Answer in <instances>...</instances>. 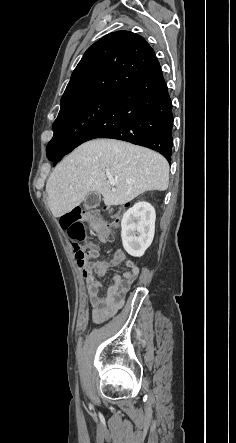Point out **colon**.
Here are the masks:
<instances>
[{
    "instance_id": "5ec220e1",
    "label": "colon",
    "mask_w": 236,
    "mask_h": 443,
    "mask_svg": "<svg viewBox=\"0 0 236 443\" xmlns=\"http://www.w3.org/2000/svg\"><path fill=\"white\" fill-rule=\"evenodd\" d=\"M119 218V212H110L102 224L103 228L108 229L117 224ZM60 224L66 231L67 236L72 243L75 259L79 263L87 262L89 259L96 256V253L91 250L90 247L89 250H86L84 247V244L88 239V227L84 224L81 213L78 210H71L64 213L60 217ZM94 228L99 229L97 226H94ZM100 234L107 236L108 231L103 230Z\"/></svg>"
}]
</instances>
